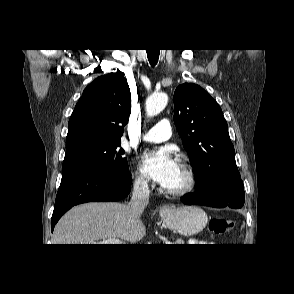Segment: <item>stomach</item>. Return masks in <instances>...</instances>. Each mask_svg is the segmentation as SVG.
<instances>
[{
	"label": "stomach",
	"mask_w": 294,
	"mask_h": 294,
	"mask_svg": "<svg viewBox=\"0 0 294 294\" xmlns=\"http://www.w3.org/2000/svg\"><path fill=\"white\" fill-rule=\"evenodd\" d=\"M161 218L169 229L184 236L199 233L208 221L205 211L196 206L169 207L161 213Z\"/></svg>",
	"instance_id": "1"
}]
</instances>
